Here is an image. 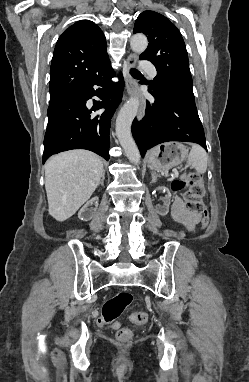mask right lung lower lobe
Masks as SVG:
<instances>
[{
	"instance_id": "right-lung-lower-lobe-1",
	"label": "right lung lower lobe",
	"mask_w": 249,
	"mask_h": 382,
	"mask_svg": "<svg viewBox=\"0 0 249 382\" xmlns=\"http://www.w3.org/2000/svg\"><path fill=\"white\" fill-rule=\"evenodd\" d=\"M112 76L108 58L81 86L50 104L43 163L51 155L71 149H87L109 160L111 117L121 101L124 86L122 76L117 86L113 85ZM92 96L102 101L93 100L91 105L88 100ZM101 108H105L103 113H94Z\"/></svg>"
}]
</instances>
